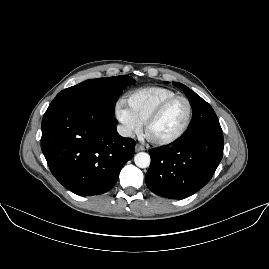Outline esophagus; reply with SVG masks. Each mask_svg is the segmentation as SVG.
Here are the masks:
<instances>
[{
    "mask_svg": "<svg viewBox=\"0 0 269 269\" xmlns=\"http://www.w3.org/2000/svg\"><path fill=\"white\" fill-rule=\"evenodd\" d=\"M135 150H136V151H144L145 148H144L142 145L136 144V146H135Z\"/></svg>",
    "mask_w": 269,
    "mask_h": 269,
    "instance_id": "34e87169",
    "label": "esophagus"
}]
</instances>
